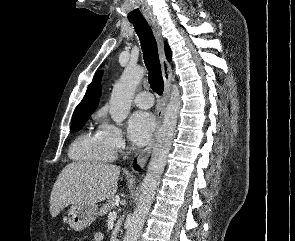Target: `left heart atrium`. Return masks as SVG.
<instances>
[{
    "instance_id": "39dd6f15",
    "label": "left heart atrium",
    "mask_w": 295,
    "mask_h": 241,
    "mask_svg": "<svg viewBox=\"0 0 295 241\" xmlns=\"http://www.w3.org/2000/svg\"><path fill=\"white\" fill-rule=\"evenodd\" d=\"M155 130V118L149 112L137 111L128 122V136L137 146L145 145Z\"/></svg>"
}]
</instances>
